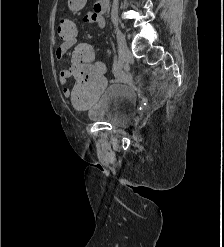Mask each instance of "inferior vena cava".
I'll return each instance as SVG.
<instances>
[{
  "label": "inferior vena cava",
  "mask_w": 224,
  "mask_h": 247,
  "mask_svg": "<svg viewBox=\"0 0 224 247\" xmlns=\"http://www.w3.org/2000/svg\"><path fill=\"white\" fill-rule=\"evenodd\" d=\"M118 2H119V0H113V6H112V10H111L112 22H117V20H118Z\"/></svg>",
  "instance_id": "1"
}]
</instances>
